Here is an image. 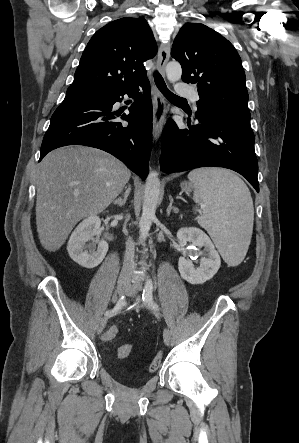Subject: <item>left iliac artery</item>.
I'll return each instance as SVG.
<instances>
[{"mask_svg": "<svg viewBox=\"0 0 299 443\" xmlns=\"http://www.w3.org/2000/svg\"><path fill=\"white\" fill-rule=\"evenodd\" d=\"M153 284L151 279H148L143 291V301H145L153 309H159L158 305L153 301Z\"/></svg>", "mask_w": 299, "mask_h": 443, "instance_id": "44dca946", "label": "left iliac artery"}]
</instances>
